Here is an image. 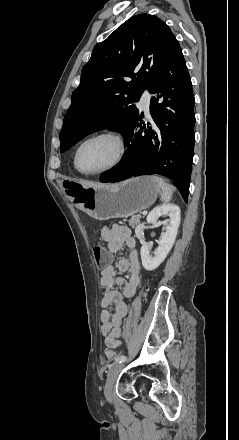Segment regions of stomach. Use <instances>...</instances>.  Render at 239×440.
Here are the masks:
<instances>
[{
  "label": "stomach",
  "instance_id": "0dacf381",
  "mask_svg": "<svg viewBox=\"0 0 239 440\" xmlns=\"http://www.w3.org/2000/svg\"><path fill=\"white\" fill-rule=\"evenodd\" d=\"M70 194L74 204L91 218L110 220L128 218L146 210L156 202L162 190L152 176H140L101 188L71 182Z\"/></svg>",
  "mask_w": 239,
  "mask_h": 440
}]
</instances>
